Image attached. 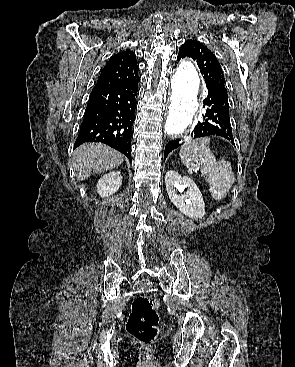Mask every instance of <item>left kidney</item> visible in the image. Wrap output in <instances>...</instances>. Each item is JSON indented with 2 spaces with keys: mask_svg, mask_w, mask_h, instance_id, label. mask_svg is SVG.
<instances>
[{
  "mask_svg": "<svg viewBox=\"0 0 295 367\" xmlns=\"http://www.w3.org/2000/svg\"><path fill=\"white\" fill-rule=\"evenodd\" d=\"M165 185L171 202L186 216L191 219H202L205 215V203L200 190L195 182L188 177H182L175 170H170L165 175ZM177 194V190L182 192Z\"/></svg>",
  "mask_w": 295,
  "mask_h": 367,
  "instance_id": "5707ae66",
  "label": "left kidney"
}]
</instances>
